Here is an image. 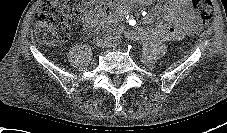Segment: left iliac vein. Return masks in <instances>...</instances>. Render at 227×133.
<instances>
[{
	"label": "left iliac vein",
	"mask_w": 227,
	"mask_h": 133,
	"mask_svg": "<svg viewBox=\"0 0 227 133\" xmlns=\"http://www.w3.org/2000/svg\"><path fill=\"white\" fill-rule=\"evenodd\" d=\"M115 45V44H114ZM114 45H112L111 43L109 44V46H114Z\"/></svg>",
	"instance_id": "left-iliac-vein-1"
}]
</instances>
